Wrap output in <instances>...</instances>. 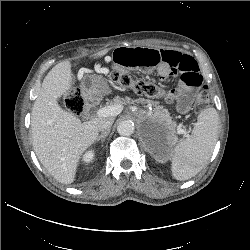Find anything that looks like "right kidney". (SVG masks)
I'll list each match as a JSON object with an SVG mask.
<instances>
[{
    "label": "right kidney",
    "instance_id": "ca27d5eb",
    "mask_svg": "<svg viewBox=\"0 0 250 250\" xmlns=\"http://www.w3.org/2000/svg\"><path fill=\"white\" fill-rule=\"evenodd\" d=\"M94 156V150H89L83 155V161L88 164L93 161Z\"/></svg>",
    "mask_w": 250,
    "mask_h": 250
}]
</instances>
